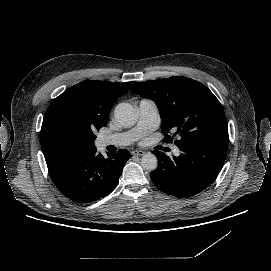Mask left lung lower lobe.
I'll list each match as a JSON object with an SVG mask.
<instances>
[{"label": "left lung lower lobe", "mask_w": 271, "mask_h": 271, "mask_svg": "<svg viewBox=\"0 0 271 271\" xmlns=\"http://www.w3.org/2000/svg\"><path fill=\"white\" fill-rule=\"evenodd\" d=\"M182 153L173 159L160 151L158 167L151 180L161 191L179 198L194 196L207 188L218 176L224 164L228 143L204 140L201 144L178 146Z\"/></svg>", "instance_id": "obj_1"}]
</instances>
